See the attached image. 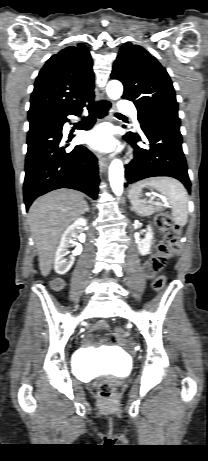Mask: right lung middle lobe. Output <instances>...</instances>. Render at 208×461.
Segmentation results:
<instances>
[{
    "mask_svg": "<svg viewBox=\"0 0 208 461\" xmlns=\"http://www.w3.org/2000/svg\"><path fill=\"white\" fill-rule=\"evenodd\" d=\"M46 121H49V120H46V119H29V130L37 127L38 125H40V124H42V123H44Z\"/></svg>",
    "mask_w": 208,
    "mask_h": 461,
    "instance_id": "right-lung-middle-lobe-1",
    "label": "right lung middle lobe"
}]
</instances>
